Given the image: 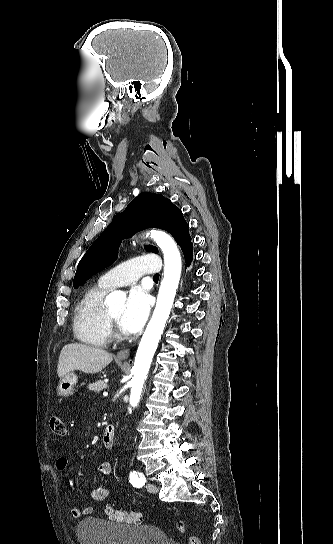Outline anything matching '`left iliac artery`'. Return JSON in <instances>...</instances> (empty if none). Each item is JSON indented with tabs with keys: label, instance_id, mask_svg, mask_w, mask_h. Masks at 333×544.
Instances as JSON below:
<instances>
[{
	"label": "left iliac artery",
	"instance_id": "left-iliac-artery-1",
	"mask_svg": "<svg viewBox=\"0 0 333 544\" xmlns=\"http://www.w3.org/2000/svg\"><path fill=\"white\" fill-rule=\"evenodd\" d=\"M129 481L133 485V487L141 488L145 485V477L142 473H139L137 471H131L129 474Z\"/></svg>",
	"mask_w": 333,
	"mask_h": 544
}]
</instances>
